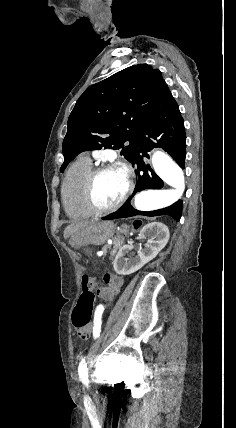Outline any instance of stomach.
<instances>
[{
    "mask_svg": "<svg viewBox=\"0 0 236 428\" xmlns=\"http://www.w3.org/2000/svg\"><path fill=\"white\" fill-rule=\"evenodd\" d=\"M114 228L112 222H102V220H94L90 224H86L82 228L78 236H73L70 240L71 246L74 248H84V246H102L106 240L112 238Z\"/></svg>",
    "mask_w": 236,
    "mask_h": 428,
    "instance_id": "stomach-1",
    "label": "stomach"
}]
</instances>
